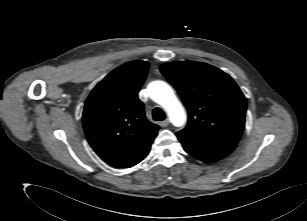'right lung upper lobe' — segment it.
Segmentation results:
<instances>
[{
  "mask_svg": "<svg viewBox=\"0 0 307 221\" xmlns=\"http://www.w3.org/2000/svg\"><path fill=\"white\" fill-rule=\"evenodd\" d=\"M149 64L128 62L109 73L90 93L83 127L93 150L111 165L124 168L150 148L159 126L149 122L138 92Z\"/></svg>",
  "mask_w": 307,
  "mask_h": 221,
  "instance_id": "obj_1",
  "label": "right lung upper lobe"
}]
</instances>
